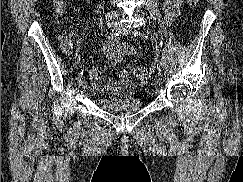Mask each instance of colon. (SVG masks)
<instances>
[{
	"instance_id": "obj_1",
	"label": "colon",
	"mask_w": 243,
	"mask_h": 182,
	"mask_svg": "<svg viewBox=\"0 0 243 182\" xmlns=\"http://www.w3.org/2000/svg\"><path fill=\"white\" fill-rule=\"evenodd\" d=\"M200 0H187L190 6H195ZM55 15L59 16L63 11V0H52ZM64 49L69 50V45L64 44ZM134 76L140 81H146L148 79V71L144 67H136L133 71Z\"/></svg>"
}]
</instances>
